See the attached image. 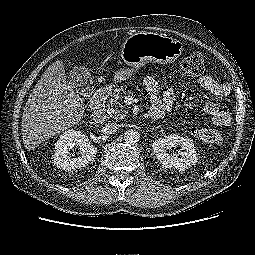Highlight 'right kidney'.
<instances>
[{
    "instance_id": "1",
    "label": "right kidney",
    "mask_w": 255,
    "mask_h": 255,
    "mask_svg": "<svg viewBox=\"0 0 255 255\" xmlns=\"http://www.w3.org/2000/svg\"><path fill=\"white\" fill-rule=\"evenodd\" d=\"M79 146L81 157L70 158V150ZM97 148L91 145L88 137L81 131L68 130L63 133L55 143L53 162L57 168L66 172L85 167L95 157Z\"/></svg>"
}]
</instances>
